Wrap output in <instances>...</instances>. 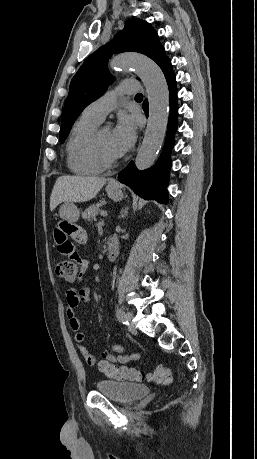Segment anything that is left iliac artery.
Instances as JSON below:
<instances>
[{"label": "left iliac artery", "mask_w": 257, "mask_h": 459, "mask_svg": "<svg viewBox=\"0 0 257 459\" xmlns=\"http://www.w3.org/2000/svg\"><path fill=\"white\" fill-rule=\"evenodd\" d=\"M116 317L118 318V320L121 323L126 324V325L129 324V322L125 318V313H124V311L122 309H120V308L116 309Z\"/></svg>", "instance_id": "left-iliac-artery-1"}]
</instances>
